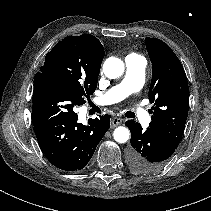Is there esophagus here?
Segmentation results:
<instances>
[{
  "label": "esophagus",
  "mask_w": 211,
  "mask_h": 211,
  "mask_svg": "<svg viewBox=\"0 0 211 211\" xmlns=\"http://www.w3.org/2000/svg\"><path fill=\"white\" fill-rule=\"evenodd\" d=\"M122 121L123 120L121 118H119V117H113L111 119V127L114 128V127L120 125L122 123Z\"/></svg>",
  "instance_id": "obj_1"
}]
</instances>
